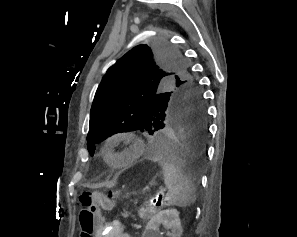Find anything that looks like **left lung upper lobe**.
<instances>
[{
  "label": "left lung upper lobe",
  "instance_id": "1",
  "mask_svg": "<svg viewBox=\"0 0 297 237\" xmlns=\"http://www.w3.org/2000/svg\"><path fill=\"white\" fill-rule=\"evenodd\" d=\"M204 105L198 84L182 54L161 41L138 45L110 67L90 112L88 151L118 132L152 135L176 101Z\"/></svg>",
  "mask_w": 297,
  "mask_h": 237
}]
</instances>
